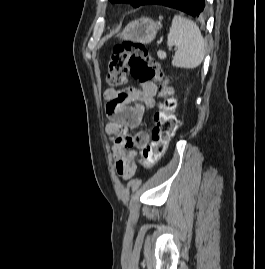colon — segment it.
<instances>
[{"instance_id":"1","label":"colon","mask_w":265,"mask_h":269,"mask_svg":"<svg viewBox=\"0 0 265 269\" xmlns=\"http://www.w3.org/2000/svg\"><path fill=\"white\" fill-rule=\"evenodd\" d=\"M129 73L142 82H157L159 87L160 101L154 114L151 141L144 148L141 157V164L150 167L165 153L176 132V99L162 67L142 43L125 41L114 47L108 61V87H121L126 83Z\"/></svg>"}]
</instances>
